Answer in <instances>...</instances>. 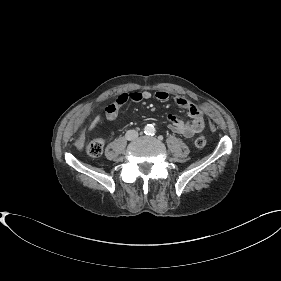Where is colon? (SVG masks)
<instances>
[{
  "mask_svg": "<svg viewBox=\"0 0 281 281\" xmlns=\"http://www.w3.org/2000/svg\"><path fill=\"white\" fill-rule=\"evenodd\" d=\"M194 144L197 148H203L206 145V139L204 136H197L194 140ZM104 143L102 139H94L86 145V151L88 155L92 157H98L103 152Z\"/></svg>",
  "mask_w": 281,
  "mask_h": 281,
  "instance_id": "1",
  "label": "colon"
}]
</instances>
